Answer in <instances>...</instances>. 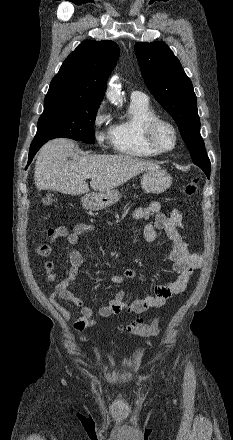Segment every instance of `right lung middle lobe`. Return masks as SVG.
<instances>
[{
    "instance_id": "dd1d6c3e",
    "label": "right lung middle lobe",
    "mask_w": 233,
    "mask_h": 440,
    "mask_svg": "<svg viewBox=\"0 0 233 440\" xmlns=\"http://www.w3.org/2000/svg\"><path fill=\"white\" fill-rule=\"evenodd\" d=\"M100 103L54 100L44 102L34 140L71 138L94 144V123Z\"/></svg>"
}]
</instances>
